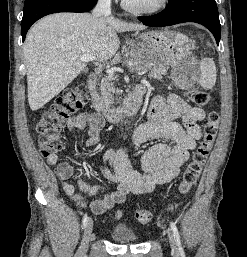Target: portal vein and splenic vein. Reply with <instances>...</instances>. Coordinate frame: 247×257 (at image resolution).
Returning a JSON list of instances; mask_svg holds the SVG:
<instances>
[{
  "instance_id": "1",
  "label": "portal vein and splenic vein",
  "mask_w": 247,
  "mask_h": 257,
  "mask_svg": "<svg viewBox=\"0 0 247 257\" xmlns=\"http://www.w3.org/2000/svg\"><path fill=\"white\" fill-rule=\"evenodd\" d=\"M94 59H95V58L92 57V56H90V55H81V56H80V60L83 61V62L93 61ZM101 62H102V61H101ZM145 73H146V71L143 70V71L138 72L137 74H138L139 76H142V75H144Z\"/></svg>"
}]
</instances>
